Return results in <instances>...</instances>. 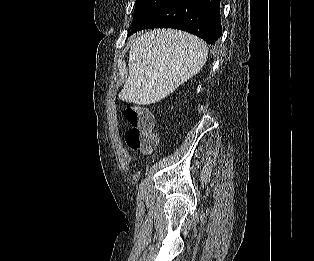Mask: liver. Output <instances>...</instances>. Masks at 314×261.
I'll list each match as a JSON object with an SVG mask.
<instances>
[{"label":"liver","mask_w":314,"mask_h":261,"mask_svg":"<svg viewBox=\"0 0 314 261\" xmlns=\"http://www.w3.org/2000/svg\"><path fill=\"white\" fill-rule=\"evenodd\" d=\"M208 47L200 38L175 29L142 34L129 53V76L119 98L137 105L159 102L205 65Z\"/></svg>","instance_id":"1"}]
</instances>
